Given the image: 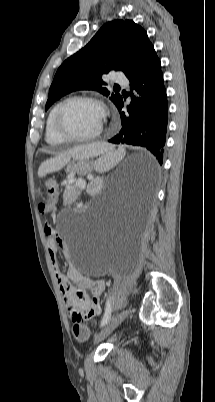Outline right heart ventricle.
<instances>
[{"mask_svg":"<svg viewBox=\"0 0 215 402\" xmlns=\"http://www.w3.org/2000/svg\"><path fill=\"white\" fill-rule=\"evenodd\" d=\"M58 104H56L51 111L46 120V127H45V140L50 145H61L66 142L63 138H61L55 128H54V113Z\"/></svg>","mask_w":215,"mask_h":402,"instance_id":"obj_1","label":"right heart ventricle"}]
</instances>
